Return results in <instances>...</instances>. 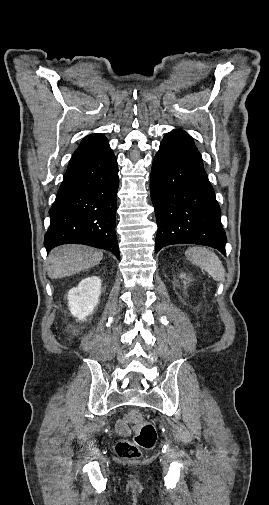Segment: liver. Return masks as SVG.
I'll return each mask as SVG.
<instances>
[{
	"instance_id": "1",
	"label": "liver",
	"mask_w": 269,
	"mask_h": 505,
	"mask_svg": "<svg viewBox=\"0 0 269 505\" xmlns=\"http://www.w3.org/2000/svg\"><path fill=\"white\" fill-rule=\"evenodd\" d=\"M103 253L84 245H63L48 256L47 273L52 279L63 278L99 264Z\"/></svg>"
}]
</instances>
